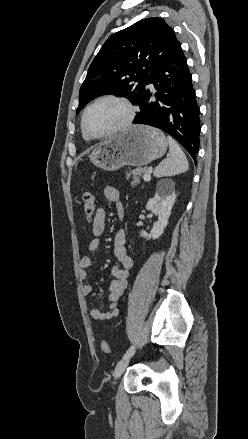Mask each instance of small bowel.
Wrapping results in <instances>:
<instances>
[{"label": "small bowel", "instance_id": "small-bowel-1", "mask_svg": "<svg viewBox=\"0 0 248 439\" xmlns=\"http://www.w3.org/2000/svg\"><path fill=\"white\" fill-rule=\"evenodd\" d=\"M104 196L110 203L115 204L117 213L120 218L124 216V208L121 203L120 193L114 187L108 186L104 190ZM105 210L101 207L97 208L93 221H92V234L93 238L87 244V251L89 253H95L100 246V236L105 230ZM126 234L125 231L120 229L114 236V256L116 264L112 267L111 273L114 280L110 284V294L106 298L105 302L109 304V310L103 311L99 308H93L90 311L92 319L97 321H105L115 318L119 314V308L117 301L123 296L124 291L128 286L129 273L133 267V259L129 256L125 247ZM92 265V260L89 256H83L79 261V277L82 281H86L88 278V269ZM82 294L87 296L92 292V286L84 283L81 288Z\"/></svg>", "mask_w": 248, "mask_h": 439}]
</instances>
